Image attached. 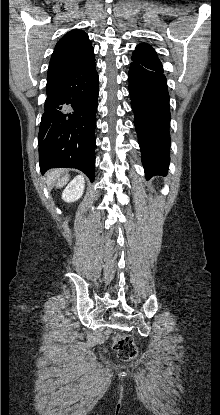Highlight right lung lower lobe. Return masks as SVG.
Segmentation results:
<instances>
[{
	"instance_id": "right-lung-lower-lobe-1",
	"label": "right lung lower lobe",
	"mask_w": 220,
	"mask_h": 415,
	"mask_svg": "<svg viewBox=\"0 0 220 415\" xmlns=\"http://www.w3.org/2000/svg\"><path fill=\"white\" fill-rule=\"evenodd\" d=\"M98 82L95 60L47 80V99L38 135L42 174L50 168L70 167L94 180Z\"/></svg>"
}]
</instances>
